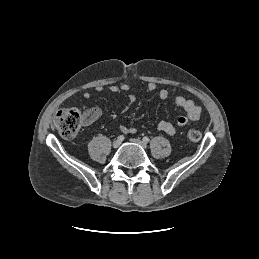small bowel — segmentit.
<instances>
[{
  "mask_svg": "<svg viewBox=\"0 0 259 259\" xmlns=\"http://www.w3.org/2000/svg\"><path fill=\"white\" fill-rule=\"evenodd\" d=\"M157 88L158 87L156 83L150 82L146 85L145 91L154 92L157 90ZM95 89L99 92L108 90L112 93L124 94L128 99V103L123 108V111H126L136 100L135 95L132 93L131 87L125 83H121L119 85L106 86L98 85L95 87ZM158 95L161 99L165 100L169 97V92L165 89H161L158 91ZM91 96L92 95L90 91L83 92V97L85 99H90ZM175 103L178 107L182 108L185 111L186 115L178 117L175 124L168 121H160L156 126L158 131L164 132L168 135H174L176 132V127H186L199 120L201 116V108L198 105H196L193 100L185 98L184 96H177L175 98ZM91 112V120H95L96 118H98L100 114L99 110L93 109L91 110ZM120 131L124 134H134L136 132V128L122 125L120 126Z\"/></svg>",
  "mask_w": 259,
  "mask_h": 259,
  "instance_id": "small-bowel-1",
  "label": "small bowel"
}]
</instances>
